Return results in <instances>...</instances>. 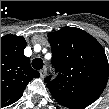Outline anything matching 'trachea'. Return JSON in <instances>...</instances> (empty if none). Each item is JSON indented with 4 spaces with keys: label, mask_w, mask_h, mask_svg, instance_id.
I'll return each instance as SVG.
<instances>
[{
    "label": "trachea",
    "mask_w": 109,
    "mask_h": 109,
    "mask_svg": "<svg viewBox=\"0 0 109 109\" xmlns=\"http://www.w3.org/2000/svg\"><path fill=\"white\" fill-rule=\"evenodd\" d=\"M32 66L34 69L39 70L43 67V60L41 58H36L32 61Z\"/></svg>",
    "instance_id": "trachea-1"
}]
</instances>
